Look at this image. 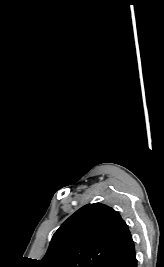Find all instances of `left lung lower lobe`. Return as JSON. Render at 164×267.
Segmentation results:
<instances>
[{
	"mask_svg": "<svg viewBox=\"0 0 164 267\" xmlns=\"http://www.w3.org/2000/svg\"><path fill=\"white\" fill-rule=\"evenodd\" d=\"M100 267H137L134 242L128 229Z\"/></svg>",
	"mask_w": 164,
	"mask_h": 267,
	"instance_id": "obj_1",
	"label": "left lung lower lobe"
}]
</instances>
